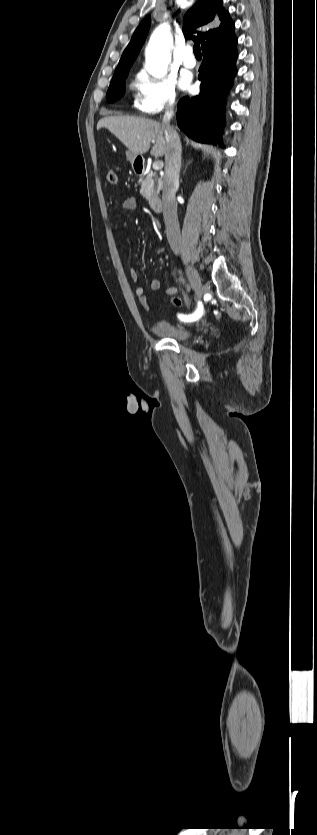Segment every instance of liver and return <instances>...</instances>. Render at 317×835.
<instances>
[{
    "label": "liver",
    "instance_id": "6515ba94",
    "mask_svg": "<svg viewBox=\"0 0 317 835\" xmlns=\"http://www.w3.org/2000/svg\"><path fill=\"white\" fill-rule=\"evenodd\" d=\"M100 128L108 129L135 155L146 153L152 140H156V143L151 155L161 157L165 154V129L157 121L131 116H107L98 121L97 130Z\"/></svg>",
    "mask_w": 317,
    "mask_h": 835
}]
</instances>
